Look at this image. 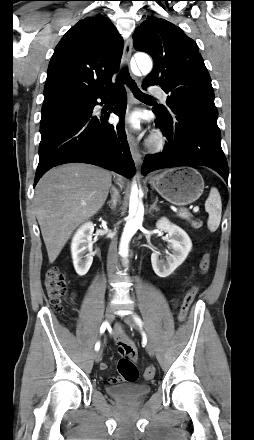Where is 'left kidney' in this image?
<instances>
[{"instance_id":"obj_1","label":"left kidney","mask_w":254,"mask_h":440,"mask_svg":"<svg viewBox=\"0 0 254 440\" xmlns=\"http://www.w3.org/2000/svg\"><path fill=\"white\" fill-rule=\"evenodd\" d=\"M157 229L168 233V248L171 253L166 257V262L159 259L160 252L151 255L152 268L156 275L165 278L171 275L187 258L192 248V242L187 233L172 224L168 219L161 218L156 223Z\"/></svg>"}]
</instances>
